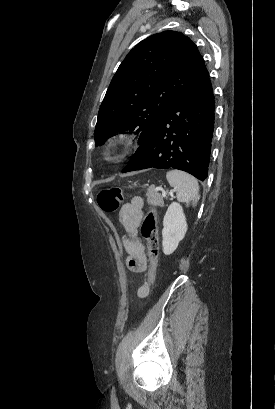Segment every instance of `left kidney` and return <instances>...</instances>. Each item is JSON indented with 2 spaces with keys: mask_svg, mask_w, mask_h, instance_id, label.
Returning <instances> with one entry per match:
<instances>
[{
  "mask_svg": "<svg viewBox=\"0 0 275 409\" xmlns=\"http://www.w3.org/2000/svg\"><path fill=\"white\" fill-rule=\"evenodd\" d=\"M187 223L183 209L179 202H171L163 219L162 247L164 255H171L176 251L180 241L184 239Z\"/></svg>",
  "mask_w": 275,
  "mask_h": 409,
  "instance_id": "obj_1",
  "label": "left kidney"
}]
</instances>
